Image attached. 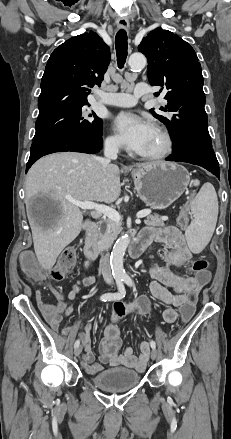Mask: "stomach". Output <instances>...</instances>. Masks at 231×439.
Returning a JSON list of instances; mask_svg holds the SVG:
<instances>
[{
  "mask_svg": "<svg viewBox=\"0 0 231 439\" xmlns=\"http://www.w3.org/2000/svg\"><path fill=\"white\" fill-rule=\"evenodd\" d=\"M140 199L154 209H165L186 190L190 181L187 170L176 163L156 162L132 171Z\"/></svg>",
  "mask_w": 231,
  "mask_h": 439,
  "instance_id": "0dacf381",
  "label": "stomach"
}]
</instances>
